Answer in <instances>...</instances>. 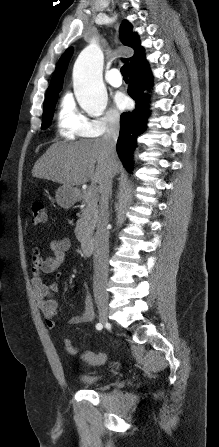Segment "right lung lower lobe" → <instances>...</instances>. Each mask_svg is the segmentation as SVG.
Returning a JSON list of instances; mask_svg holds the SVG:
<instances>
[{
    "label": "right lung lower lobe",
    "instance_id": "98d812e1",
    "mask_svg": "<svg viewBox=\"0 0 219 447\" xmlns=\"http://www.w3.org/2000/svg\"><path fill=\"white\" fill-rule=\"evenodd\" d=\"M128 94L135 100L136 108L132 112H125L120 117V135L117 141V152L126 169L130 171L131 156L136 146L137 137L143 133L147 124L148 95L144 90L152 84V76L146 61L131 68Z\"/></svg>",
    "mask_w": 219,
    "mask_h": 447
}]
</instances>
